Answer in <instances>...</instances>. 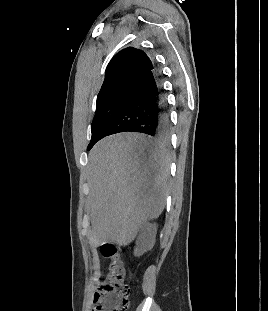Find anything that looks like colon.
<instances>
[{
	"label": "colon",
	"mask_w": 268,
	"mask_h": 311,
	"mask_svg": "<svg viewBox=\"0 0 268 311\" xmlns=\"http://www.w3.org/2000/svg\"><path fill=\"white\" fill-rule=\"evenodd\" d=\"M102 256L109 261L108 272L99 285L92 311H126L129 307V285L126 270L116 247L103 245Z\"/></svg>",
	"instance_id": "colon-1"
}]
</instances>
